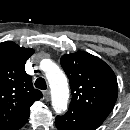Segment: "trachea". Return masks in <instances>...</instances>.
Returning <instances> with one entry per match:
<instances>
[{"mask_svg": "<svg viewBox=\"0 0 130 130\" xmlns=\"http://www.w3.org/2000/svg\"><path fill=\"white\" fill-rule=\"evenodd\" d=\"M35 87L41 90H45L47 88L46 81L44 78H38L35 81Z\"/></svg>", "mask_w": 130, "mask_h": 130, "instance_id": "trachea-1", "label": "trachea"}]
</instances>
